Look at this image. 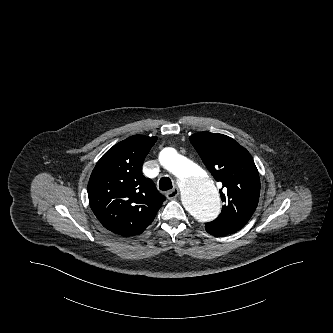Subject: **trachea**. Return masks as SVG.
Returning a JSON list of instances; mask_svg holds the SVG:
<instances>
[{"label": "trachea", "mask_w": 333, "mask_h": 333, "mask_svg": "<svg viewBox=\"0 0 333 333\" xmlns=\"http://www.w3.org/2000/svg\"><path fill=\"white\" fill-rule=\"evenodd\" d=\"M172 181L168 177H162L159 181V189L162 191H167L172 189Z\"/></svg>", "instance_id": "1"}]
</instances>
